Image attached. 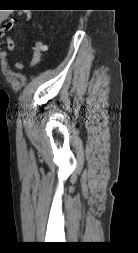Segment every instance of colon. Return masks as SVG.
Wrapping results in <instances>:
<instances>
[{
    "label": "colon",
    "mask_w": 138,
    "mask_h": 253,
    "mask_svg": "<svg viewBox=\"0 0 138 253\" xmlns=\"http://www.w3.org/2000/svg\"><path fill=\"white\" fill-rule=\"evenodd\" d=\"M44 52H45L44 43L42 41H36L33 47V60H32L33 64L38 63L42 59Z\"/></svg>",
    "instance_id": "5ec220e1"
}]
</instances>
